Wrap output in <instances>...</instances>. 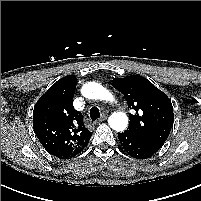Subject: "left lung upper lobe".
Returning <instances> with one entry per match:
<instances>
[{
  "label": "left lung upper lobe",
  "instance_id": "left-lung-upper-lobe-1",
  "mask_svg": "<svg viewBox=\"0 0 201 201\" xmlns=\"http://www.w3.org/2000/svg\"><path fill=\"white\" fill-rule=\"evenodd\" d=\"M112 85L124 94L130 114L127 130L159 150L165 143L174 122L173 106L168 96L140 75L114 78Z\"/></svg>",
  "mask_w": 201,
  "mask_h": 201
}]
</instances>
